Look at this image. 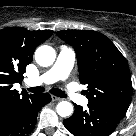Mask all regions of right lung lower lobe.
I'll use <instances>...</instances> for the list:
<instances>
[{
	"instance_id": "obj_1",
	"label": "right lung lower lobe",
	"mask_w": 136,
	"mask_h": 136,
	"mask_svg": "<svg viewBox=\"0 0 136 136\" xmlns=\"http://www.w3.org/2000/svg\"><path fill=\"white\" fill-rule=\"evenodd\" d=\"M51 101L48 93L32 95L17 110L0 118V136H26L37 121L41 107Z\"/></svg>"
}]
</instances>
